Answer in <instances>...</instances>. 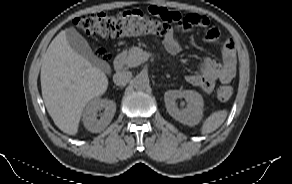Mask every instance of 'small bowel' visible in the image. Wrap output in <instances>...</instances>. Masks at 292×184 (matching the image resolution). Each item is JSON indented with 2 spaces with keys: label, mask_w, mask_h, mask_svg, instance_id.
<instances>
[{
  "label": "small bowel",
  "mask_w": 292,
  "mask_h": 184,
  "mask_svg": "<svg viewBox=\"0 0 292 184\" xmlns=\"http://www.w3.org/2000/svg\"><path fill=\"white\" fill-rule=\"evenodd\" d=\"M186 28L197 26L206 30V41L216 43L220 37V31L216 25H213L209 18L201 14H189L186 16ZM165 49L172 55L181 52V45L178 38L172 31H169L163 38ZM236 50L233 41L227 40L222 47V60L213 58L204 59L199 67V72L186 76V81L193 86L200 88L203 92L209 94L213 91L215 83H229L236 74Z\"/></svg>",
  "instance_id": "small-bowel-1"
}]
</instances>
